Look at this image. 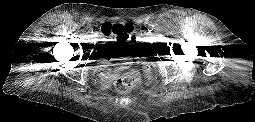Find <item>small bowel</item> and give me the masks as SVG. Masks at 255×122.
<instances>
[{
	"instance_id": "c3829d8e",
	"label": "small bowel",
	"mask_w": 255,
	"mask_h": 122,
	"mask_svg": "<svg viewBox=\"0 0 255 122\" xmlns=\"http://www.w3.org/2000/svg\"><path fill=\"white\" fill-rule=\"evenodd\" d=\"M111 23H105L102 25V27L104 25H110ZM102 27H101V34H103L102 32ZM106 36V35H105ZM107 39L103 40L105 41V43H102V55H107L108 51L111 50L112 48H122V47H126L128 45V41L129 39L125 38L122 35H115L112 34L110 36H106ZM118 71V68H115L113 70H111L108 74L109 76H114L115 73Z\"/></svg>"
}]
</instances>
